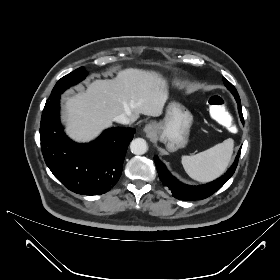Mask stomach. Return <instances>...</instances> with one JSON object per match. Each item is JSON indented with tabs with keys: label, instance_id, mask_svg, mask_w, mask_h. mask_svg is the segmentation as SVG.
Masks as SVG:
<instances>
[{
	"label": "stomach",
	"instance_id": "stomach-1",
	"mask_svg": "<svg viewBox=\"0 0 280 280\" xmlns=\"http://www.w3.org/2000/svg\"><path fill=\"white\" fill-rule=\"evenodd\" d=\"M192 123L193 115L189 110L174 101L168 105L165 118L155 123V134L168 151L174 152L188 143Z\"/></svg>",
	"mask_w": 280,
	"mask_h": 280
}]
</instances>
